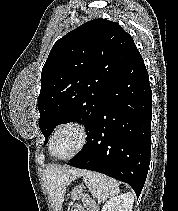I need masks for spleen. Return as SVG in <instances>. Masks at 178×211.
<instances>
[{
	"mask_svg": "<svg viewBox=\"0 0 178 211\" xmlns=\"http://www.w3.org/2000/svg\"><path fill=\"white\" fill-rule=\"evenodd\" d=\"M83 176L86 186L95 198L112 199L120 192L119 183L109 176L93 171H85Z\"/></svg>",
	"mask_w": 178,
	"mask_h": 211,
	"instance_id": "3e777b00",
	"label": "spleen"
}]
</instances>
